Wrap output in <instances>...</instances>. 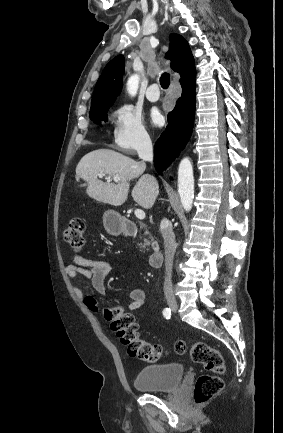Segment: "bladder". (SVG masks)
I'll use <instances>...</instances> for the list:
<instances>
[{"label":"bladder","mask_w":283,"mask_h":433,"mask_svg":"<svg viewBox=\"0 0 283 433\" xmlns=\"http://www.w3.org/2000/svg\"><path fill=\"white\" fill-rule=\"evenodd\" d=\"M185 369L182 364L142 367L136 374L133 386L150 392H167L178 387Z\"/></svg>","instance_id":"bladder-1"}]
</instances>
